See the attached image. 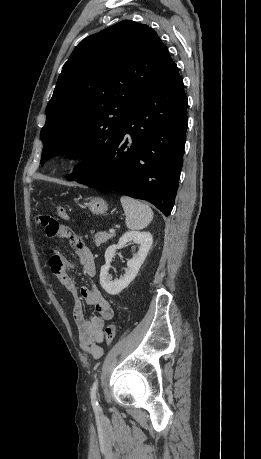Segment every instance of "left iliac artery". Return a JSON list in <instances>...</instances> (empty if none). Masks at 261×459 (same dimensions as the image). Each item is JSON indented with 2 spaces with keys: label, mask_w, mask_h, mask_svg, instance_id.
<instances>
[{
  "label": "left iliac artery",
  "mask_w": 261,
  "mask_h": 459,
  "mask_svg": "<svg viewBox=\"0 0 261 459\" xmlns=\"http://www.w3.org/2000/svg\"><path fill=\"white\" fill-rule=\"evenodd\" d=\"M91 403L94 409H99L98 404V379L95 380L91 388Z\"/></svg>",
  "instance_id": "left-iliac-artery-1"
}]
</instances>
